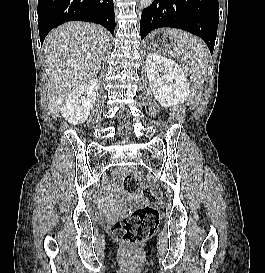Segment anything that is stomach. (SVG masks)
<instances>
[{
	"mask_svg": "<svg viewBox=\"0 0 265 273\" xmlns=\"http://www.w3.org/2000/svg\"><path fill=\"white\" fill-rule=\"evenodd\" d=\"M178 30H156V35H148L142 40L145 49H172ZM155 56H169V51H155Z\"/></svg>",
	"mask_w": 265,
	"mask_h": 273,
	"instance_id": "1",
	"label": "stomach"
}]
</instances>
